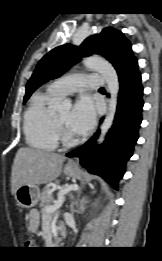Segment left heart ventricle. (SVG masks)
<instances>
[{"label":"left heart ventricle","instance_id":"obj_1","mask_svg":"<svg viewBox=\"0 0 162 261\" xmlns=\"http://www.w3.org/2000/svg\"><path fill=\"white\" fill-rule=\"evenodd\" d=\"M70 111H63L56 113V117L58 121L62 124V126L65 128V130L71 135L74 136V133L69 128V119H70Z\"/></svg>","mask_w":162,"mask_h":261}]
</instances>
